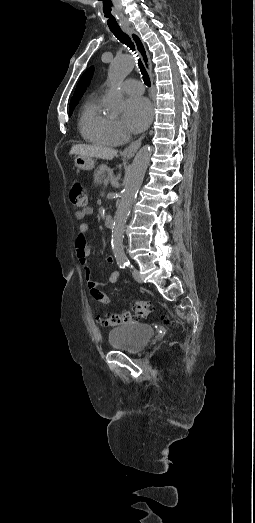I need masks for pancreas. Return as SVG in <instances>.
Wrapping results in <instances>:
<instances>
[{"label": "pancreas", "instance_id": "cf45deb5", "mask_svg": "<svg viewBox=\"0 0 255 523\" xmlns=\"http://www.w3.org/2000/svg\"><path fill=\"white\" fill-rule=\"evenodd\" d=\"M106 172H110V168H107V166H99L97 170H94L93 184H102V180L105 179Z\"/></svg>", "mask_w": 255, "mask_h": 523}]
</instances>
